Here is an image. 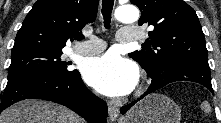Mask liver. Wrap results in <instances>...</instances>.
<instances>
[{"label": "liver", "instance_id": "6515ba94", "mask_svg": "<svg viewBox=\"0 0 221 123\" xmlns=\"http://www.w3.org/2000/svg\"><path fill=\"white\" fill-rule=\"evenodd\" d=\"M0 123H84L64 106L41 101L23 100L4 110Z\"/></svg>", "mask_w": 221, "mask_h": 123}]
</instances>
